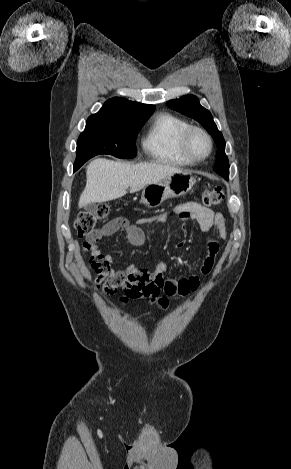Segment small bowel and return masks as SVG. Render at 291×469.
Wrapping results in <instances>:
<instances>
[{
  "label": "small bowel",
  "mask_w": 291,
  "mask_h": 469,
  "mask_svg": "<svg viewBox=\"0 0 291 469\" xmlns=\"http://www.w3.org/2000/svg\"><path fill=\"white\" fill-rule=\"evenodd\" d=\"M175 214L184 222L185 226L192 222H197L203 231L216 230V235L210 238L206 244V255L200 263V275L206 276L211 273L215 257L218 253V239L227 238L226 217L222 213L214 212L196 201H190L176 206L173 210ZM167 214L162 213L152 217H144L135 223H130L124 217H117L105 226V235H111L118 231H123L129 243L133 246H141L145 242L143 225L155 222H165ZM186 245L184 239L176 243V248H183ZM91 257L99 258L107 267L102 272H97L95 279L97 284L102 285L105 294H112L118 288L123 291V299L131 297L137 298H157L166 300L167 297L179 295L186 296L198 289L200 278L198 275H189L175 278H165L166 265L159 263L154 269L138 268L129 265L123 270H115L110 267L112 257L102 253L99 246L94 243L89 247ZM153 288V290H151ZM167 301V300H166Z\"/></svg>",
  "instance_id": "obj_1"
}]
</instances>
